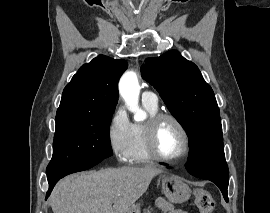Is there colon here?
I'll return each instance as SVG.
<instances>
[{
  "label": "colon",
  "instance_id": "obj_1",
  "mask_svg": "<svg viewBox=\"0 0 270 213\" xmlns=\"http://www.w3.org/2000/svg\"><path fill=\"white\" fill-rule=\"evenodd\" d=\"M194 203L200 213H212L215 208V202L212 195L205 190L196 191Z\"/></svg>",
  "mask_w": 270,
  "mask_h": 213
}]
</instances>
